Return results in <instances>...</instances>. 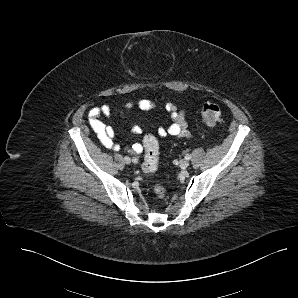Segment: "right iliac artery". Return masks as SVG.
<instances>
[{
	"mask_svg": "<svg viewBox=\"0 0 298 298\" xmlns=\"http://www.w3.org/2000/svg\"><path fill=\"white\" fill-rule=\"evenodd\" d=\"M132 161H133L134 163H137V162H138V159H137L136 157H133V158H132Z\"/></svg>",
	"mask_w": 298,
	"mask_h": 298,
	"instance_id": "right-iliac-artery-1",
	"label": "right iliac artery"
}]
</instances>
